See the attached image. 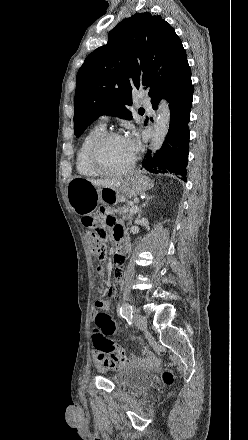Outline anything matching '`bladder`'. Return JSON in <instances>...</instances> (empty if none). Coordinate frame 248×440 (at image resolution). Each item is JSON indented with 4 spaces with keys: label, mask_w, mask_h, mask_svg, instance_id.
Masks as SVG:
<instances>
[{
    "label": "bladder",
    "mask_w": 248,
    "mask_h": 440,
    "mask_svg": "<svg viewBox=\"0 0 248 440\" xmlns=\"http://www.w3.org/2000/svg\"><path fill=\"white\" fill-rule=\"evenodd\" d=\"M109 378L118 387H146L152 383L151 372L140 367H120Z\"/></svg>",
    "instance_id": "1"
}]
</instances>
